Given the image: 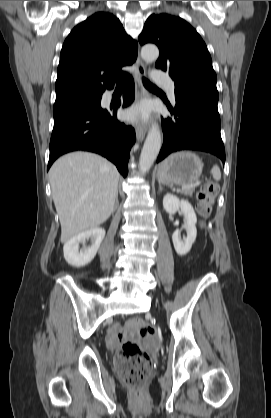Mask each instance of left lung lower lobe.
Returning a JSON list of instances; mask_svg holds the SVG:
<instances>
[{
    "instance_id": "0a47b994",
    "label": "left lung lower lobe",
    "mask_w": 271,
    "mask_h": 418,
    "mask_svg": "<svg viewBox=\"0 0 271 418\" xmlns=\"http://www.w3.org/2000/svg\"><path fill=\"white\" fill-rule=\"evenodd\" d=\"M176 106L167 104L174 118H162L164 142L157 163L170 153L198 150L218 156L225 162L220 134L218 99L186 88H175Z\"/></svg>"
}]
</instances>
